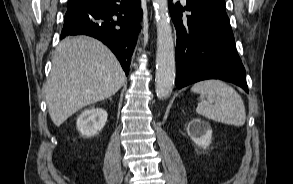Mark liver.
<instances>
[{
  "label": "liver",
  "mask_w": 293,
  "mask_h": 184,
  "mask_svg": "<svg viewBox=\"0 0 293 184\" xmlns=\"http://www.w3.org/2000/svg\"><path fill=\"white\" fill-rule=\"evenodd\" d=\"M126 81L114 54L87 36L63 39L57 46L46 83V102L59 127L80 109L111 97Z\"/></svg>",
  "instance_id": "6515ba94"
}]
</instances>
